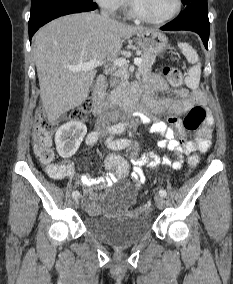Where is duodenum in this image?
Returning a JSON list of instances; mask_svg holds the SVG:
<instances>
[{
    "label": "duodenum",
    "mask_w": 233,
    "mask_h": 284,
    "mask_svg": "<svg viewBox=\"0 0 233 284\" xmlns=\"http://www.w3.org/2000/svg\"><path fill=\"white\" fill-rule=\"evenodd\" d=\"M106 85H107L106 77L103 75L99 76L97 78L96 87L93 93L94 112L97 116H101L105 109ZM137 101H138V93L134 92L127 97V99L121 105V109L124 112H131L136 108Z\"/></svg>",
    "instance_id": "1"
}]
</instances>
